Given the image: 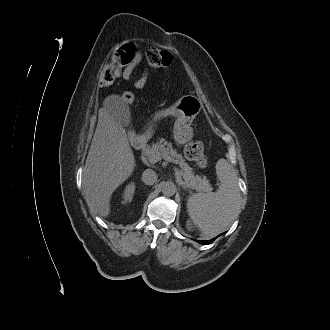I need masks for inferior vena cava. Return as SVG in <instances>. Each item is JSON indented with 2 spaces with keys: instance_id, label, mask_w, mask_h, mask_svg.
Returning <instances> with one entry per match:
<instances>
[{
  "instance_id": "inferior-vena-cava-1",
  "label": "inferior vena cava",
  "mask_w": 330,
  "mask_h": 330,
  "mask_svg": "<svg viewBox=\"0 0 330 330\" xmlns=\"http://www.w3.org/2000/svg\"><path fill=\"white\" fill-rule=\"evenodd\" d=\"M157 178H158V176L154 170L146 169L142 173V181L146 185H153L157 181Z\"/></svg>"
}]
</instances>
